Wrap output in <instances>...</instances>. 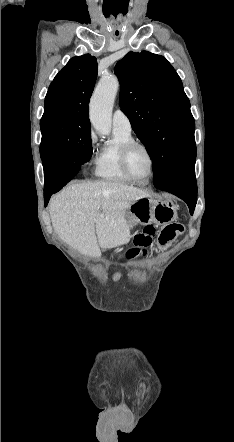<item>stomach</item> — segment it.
I'll list each match as a JSON object with an SVG mask.
<instances>
[{"instance_id": "1", "label": "stomach", "mask_w": 234, "mask_h": 442, "mask_svg": "<svg viewBox=\"0 0 234 442\" xmlns=\"http://www.w3.org/2000/svg\"><path fill=\"white\" fill-rule=\"evenodd\" d=\"M177 219L176 206L172 199L145 197L133 202L126 212V224L129 229L138 224H168Z\"/></svg>"}]
</instances>
